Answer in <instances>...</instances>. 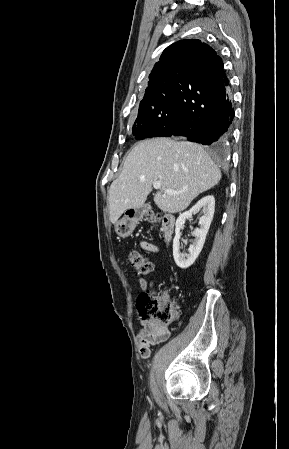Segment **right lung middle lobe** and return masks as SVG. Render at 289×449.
I'll use <instances>...</instances> for the list:
<instances>
[{"mask_svg": "<svg viewBox=\"0 0 289 449\" xmlns=\"http://www.w3.org/2000/svg\"><path fill=\"white\" fill-rule=\"evenodd\" d=\"M177 111V99L173 91L143 97L133 125V135L137 140L152 137L177 117Z\"/></svg>", "mask_w": 289, "mask_h": 449, "instance_id": "1", "label": "right lung middle lobe"}]
</instances>
